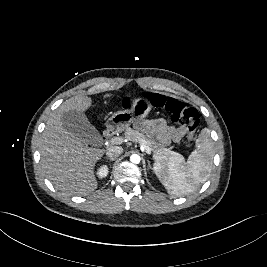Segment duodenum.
Returning a JSON list of instances; mask_svg holds the SVG:
<instances>
[{
	"instance_id": "duodenum-1",
	"label": "duodenum",
	"mask_w": 267,
	"mask_h": 267,
	"mask_svg": "<svg viewBox=\"0 0 267 267\" xmlns=\"http://www.w3.org/2000/svg\"><path fill=\"white\" fill-rule=\"evenodd\" d=\"M114 132V128L112 126H109L106 128V130L104 131V136L106 138L110 137Z\"/></svg>"
}]
</instances>
